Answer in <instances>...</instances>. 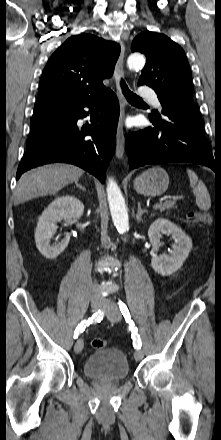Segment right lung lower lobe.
<instances>
[{"label": "right lung lower lobe", "instance_id": "right-lung-lower-lobe-1", "mask_svg": "<svg viewBox=\"0 0 221 440\" xmlns=\"http://www.w3.org/2000/svg\"><path fill=\"white\" fill-rule=\"evenodd\" d=\"M84 107H89V111ZM86 116H90L91 124L78 126V119ZM118 118V99L110 89L97 97L34 108L26 152L16 179L37 166L65 162L104 182L115 151Z\"/></svg>", "mask_w": 221, "mask_h": 440}]
</instances>
